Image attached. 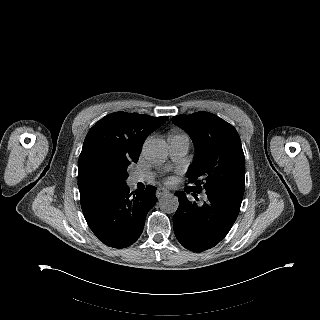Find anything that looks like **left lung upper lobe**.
Listing matches in <instances>:
<instances>
[{
  "instance_id": "5c2ea615",
  "label": "left lung upper lobe",
  "mask_w": 320,
  "mask_h": 320,
  "mask_svg": "<svg viewBox=\"0 0 320 320\" xmlns=\"http://www.w3.org/2000/svg\"><path fill=\"white\" fill-rule=\"evenodd\" d=\"M172 120L189 134L195 146V158L187 171L188 187L195 193L224 191L243 198L245 157L235 128L207 112Z\"/></svg>"
}]
</instances>
